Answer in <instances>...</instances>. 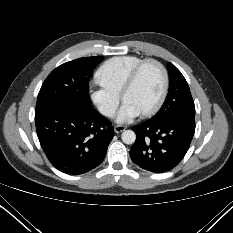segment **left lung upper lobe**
Wrapping results in <instances>:
<instances>
[{
    "label": "left lung upper lobe",
    "mask_w": 233,
    "mask_h": 233,
    "mask_svg": "<svg viewBox=\"0 0 233 233\" xmlns=\"http://www.w3.org/2000/svg\"><path fill=\"white\" fill-rule=\"evenodd\" d=\"M170 88L161 109L151 120L162 121L176 115H195V106L189 86L182 73L168 63Z\"/></svg>",
    "instance_id": "1"
}]
</instances>
